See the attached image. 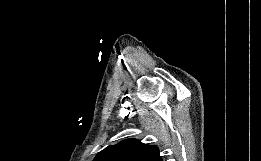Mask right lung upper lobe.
<instances>
[{
  "label": "right lung upper lobe",
  "instance_id": "1",
  "mask_svg": "<svg viewBox=\"0 0 261 161\" xmlns=\"http://www.w3.org/2000/svg\"><path fill=\"white\" fill-rule=\"evenodd\" d=\"M94 161H162L157 147L135 139L110 145L99 152Z\"/></svg>",
  "mask_w": 261,
  "mask_h": 161
}]
</instances>
